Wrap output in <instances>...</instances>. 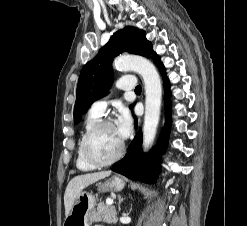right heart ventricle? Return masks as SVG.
<instances>
[{
    "instance_id": "1",
    "label": "right heart ventricle",
    "mask_w": 247,
    "mask_h": 226,
    "mask_svg": "<svg viewBox=\"0 0 247 226\" xmlns=\"http://www.w3.org/2000/svg\"><path fill=\"white\" fill-rule=\"evenodd\" d=\"M100 116L93 113V112H89L87 118L84 121L83 124V128L82 131L80 133V137L78 140V145H77V152H76V166L78 169L82 170V171H90L93 170L95 167L90 165L83 157L82 154V148H81V144H82V140L83 137L85 135V133L96 123L99 121Z\"/></svg>"
}]
</instances>
